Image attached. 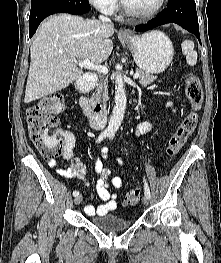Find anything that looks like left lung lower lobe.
Wrapping results in <instances>:
<instances>
[{
  "label": "left lung lower lobe",
  "instance_id": "0a47b994",
  "mask_svg": "<svg viewBox=\"0 0 221 263\" xmlns=\"http://www.w3.org/2000/svg\"><path fill=\"white\" fill-rule=\"evenodd\" d=\"M166 23H176L193 33L200 42L199 25L194 0H168L167 8L159 15L135 27L136 31H147ZM201 43V42H200Z\"/></svg>",
  "mask_w": 221,
  "mask_h": 263
}]
</instances>
